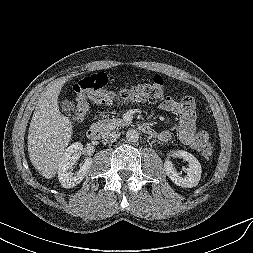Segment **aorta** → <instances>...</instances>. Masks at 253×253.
I'll return each instance as SVG.
<instances>
[{"label": "aorta", "mask_w": 253, "mask_h": 253, "mask_svg": "<svg viewBox=\"0 0 253 253\" xmlns=\"http://www.w3.org/2000/svg\"><path fill=\"white\" fill-rule=\"evenodd\" d=\"M126 139L129 142H137L138 139H139V133H138V131L135 130V129H129L126 132Z\"/></svg>", "instance_id": "762f6f07"}]
</instances>
